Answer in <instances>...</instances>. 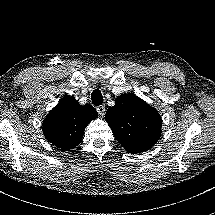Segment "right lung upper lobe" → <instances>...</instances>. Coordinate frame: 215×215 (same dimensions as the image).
I'll return each instance as SVG.
<instances>
[{
    "label": "right lung upper lobe",
    "instance_id": "cb5924a9",
    "mask_svg": "<svg viewBox=\"0 0 215 215\" xmlns=\"http://www.w3.org/2000/svg\"><path fill=\"white\" fill-rule=\"evenodd\" d=\"M97 116L93 106H82L74 97L66 96L44 119L43 134L55 147L67 151L81 142L85 127Z\"/></svg>",
    "mask_w": 215,
    "mask_h": 215
}]
</instances>
